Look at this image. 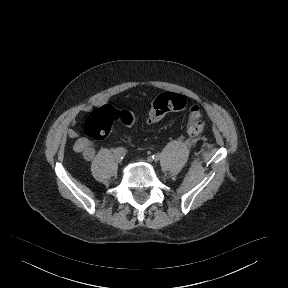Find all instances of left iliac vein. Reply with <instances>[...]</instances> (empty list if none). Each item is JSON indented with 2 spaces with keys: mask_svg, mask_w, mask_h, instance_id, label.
Segmentation results:
<instances>
[{
  "mask_svg": "<svg viewBox=\"0 0 288 288\" xmlns=\"http://www.w3.org/2000/svg\"><path fill=\"white\" fill-rule=\"evenodd\" d=\"M147 162H151V160L148 158V159H147Z\"/></svg>",
  "mask_w": 288,
  "mask_h": 288,
  "instance_id": "obj_1",
  "label": "left iliac vein"
}]
</instances>
